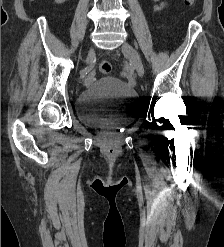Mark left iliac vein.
<instances>
[{
	"instance_id": "obj_1",
	"label": "left iliac vein",
	"mask_w": 224,
	"mask_h": 247,
	"mask_svg": "<svg viewBox=\"0 0 224 247\" xmlns=\"http://www.w3.org/2000/svg\"><path fill=\"white\" fill-rule=\"evenodd\" d=\"M122 52L125 56H127L130 61L135 66V69L140 77L144 76V66L142 60L140 58L139 53L127 42H124L122 47Z\"/></svg>"
}]
</instances>
